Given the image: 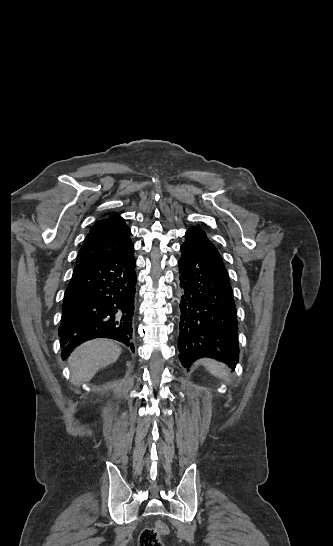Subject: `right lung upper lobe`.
Segmentation results:
<instances>
[{
  "label": "right lung upper lobe",
  "mask_w": 333,
  "mask_h": 546,
  "mask_svg": "<svg viewBox=\"0 0 333 546\" xmlns=\"http://www.w3.org/2000/svg\"><path fill=\"white\" fill-rule=\"evenodd\" d=\"M130 234L119 214L97 221L86 236L76 263H93L114 256L132 244Z\"/></svg>",
  "instance_id": "obj_1"
}]
</instances>
